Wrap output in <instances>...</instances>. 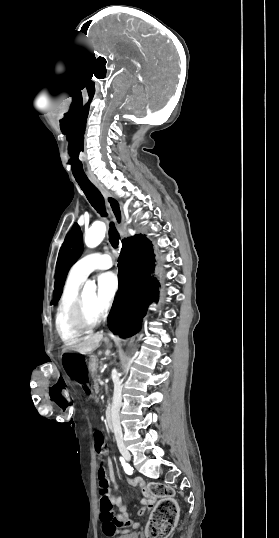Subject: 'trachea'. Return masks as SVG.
<instances>
[{
  "label": "trachea",
  "mask_w": 279,
  "mask_h": 538,
  "mask_svg": "<svg viewBox=\"0 0 279 538\" xmlns=\"http://www.w3.org/2000/svg\"><path fill=\"white\" fill-rule=\"evenodd\" d=\"M78 185L83 190L84 194L87 197V200L92 205V207L99 213L101 216L108 218L106 211L105 203L102 194L96 188L93 183L88 179L87 176L83 177H74ZM120 235L117 232L115 225L110 221L109 224V241L114 248L118 247Z\"/></svg>",
  "instance_id": "trachea-1"
}]
</instances>
